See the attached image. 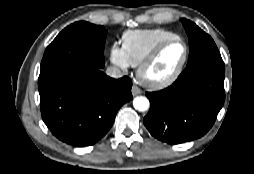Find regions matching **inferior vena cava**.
I'll list each match as a JSON object with an SVG mask.
<instances>
[{"label":"inferior vena cava","instance_id":"inferior-vena-cava-1","mask_svg":"<svg viewBox=\"0 0 254 174\" xmlns=\"http://www.w3.org/2000/svg\"><path fill=\"white\" fill-rule=\"evenodd\" d=\"M106 74L112 78H121L123 76V72L120 68L116 66H110L106 69Z\"/></svg>","mask_w":254,"mask_h":174}]
</instances>
